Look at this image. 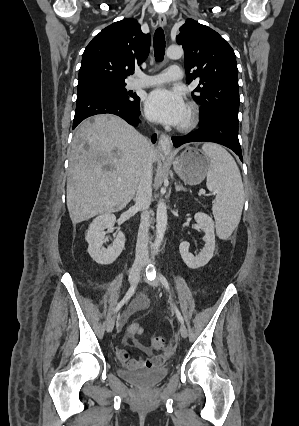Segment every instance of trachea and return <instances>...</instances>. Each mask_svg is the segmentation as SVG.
<instances>
[{
    "instance_id": "trachea-1",
    "label": "trachea",
    "mask_w": 299,
    "mask_h": 426,
    "mask_svg": "<svg viewBox=\"0 0 299 426\" xmlns=\"http://www.w3.org/2000/svg\"><path fill=\"white\" fill-rule=\"evenodd\" d=\"M153 46L156 60L161 61L165 52V36L162 28H158L155 31Z\"/></svg>"
}]
</instances>
